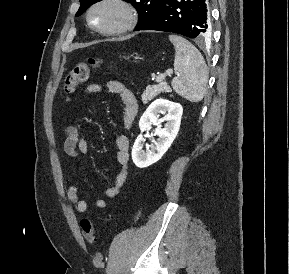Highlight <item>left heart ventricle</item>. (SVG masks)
Returning a JSON list of instances; mask_svg holds the SVG:
<instances>
[{
  "instance_id": "left-heart-ventricle-1",
  "label": "left heart ventricle",
  "mask_w": 289,
  "mask_h": 274,
  "mask_svg": "<svg viewBox=\"0 0 289 274\" xmlns=\"http://www.w3.org/2000/svg\"><path fill=\"white\" fill-rule=\"evenodd\" d=\"M122 11L115 6H101L94 10L91 16L92 23L102 29H109L122 21Z\"/></svg>"
}]
</instances>
